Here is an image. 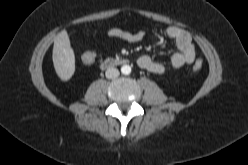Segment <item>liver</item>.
<instances>
[{
	"label": "liver",
	"instance_id": "obj_1",
	"mask_svg": "<svg viewBox=\"0 0 248 165\" xmlns=\"http://www.w3.org/2000/svg\"><path fill=\"white\" fill-rule=\"evenodd\" d=\"M52 59L59 78L69 80L75 72V55L66 30H62L54 39Z\"/></svg>",
	"mask_w": 248,
	"mask_h": 165
}]
</instances>
